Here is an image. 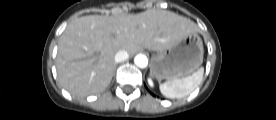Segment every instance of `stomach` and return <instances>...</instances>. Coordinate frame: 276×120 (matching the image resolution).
<instances>
[{"label": "stomach", "mask_w": 276, "mask_h": 120, "mask_svg": "<svg viewBox=\"0 0 276 120\" xmlns=\"http://www.w3.org/2000/svg\"><path fill=\"white\" fill-rule=\"evenodd\" d=\"M203 54L201 37L197 32L190 33L170 48L157 51L152 59L153 74L159 80L186 76L202 64Z\"/></svg>", "instance_id": "obj_1"}]
</instances>
